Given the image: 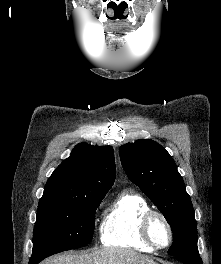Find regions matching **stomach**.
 Returning a JSON list of instances; mask_svg holds the SVG:
<instances>
[{"label":"stomach","mask_w":221,"mask_h":264,"mask_svg":"<svg viewBox=\"0 0 221 264\" xmlns=\"http://www.w3.org/2000/svg\"><path fill=\"white\" fill-rule=\"evenodd\" d=\"M147 264H158V263H156V262H153V263H147Z\"/></svg>","instance_id":"1"}]
</instances>
